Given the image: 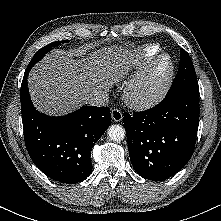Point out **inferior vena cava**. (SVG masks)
I'll list each match as a JSON object with an SVG mask.
<instances>
[{"label": "inferior vena cava", "instance_id": "1", "mask_svg": "<svg viewBox=\"0 0 221 221\" xmlns=\"http://www.w3.org/2000/svg\"><path fill=\"white\" fill-rule=\"evenodd\" d=\"M108 101V94L106 92L90 95L85 99V103L98 107L106 106Z\"/></svg>", "mask_w": 221, "mask_h": 221}]
</instances>
